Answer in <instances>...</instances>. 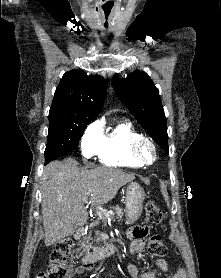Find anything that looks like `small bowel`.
<instances>
[{
    "mask_svg": "<svg viewBox=\"0 0 221 278\" xmlns=\"http://www.w3.org/2000/svg\"><path fill=\"white\" fill-rule=\"evenodd\" d=\"M132 239L131 252L140 254L144 250L145 236L147 234L146 228L134 227L129 231ZM168 261L166 259H159L156 267L152 270L140 272L133 264H127V270L132 278H158L164 274L168 269ZM86 271L83 267H71L67 278H74L76 275H82ZM172 278H185V273L182 268H179Z\"/></svg>",
    "mask_w": 221,
    "mask_h": 278,
    "instance_id": "c3829d8e",
    "label": "small bowel"
}]
</instances>
